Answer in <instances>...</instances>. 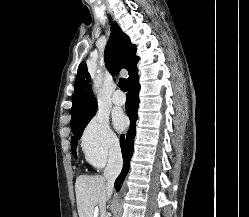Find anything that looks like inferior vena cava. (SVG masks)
Masks as SVG:
<instances>
[{
  "instance_id": "1",
  "label": "inferior vena cava",
  "mask_w": 249,
  "mask_h": 217,
  "mask_svg": "<svg viewBox=\"0 0 249 217\" xmlns=\"http://www.w3.org/2000/svg\"><path fill=\"white\" fill-rule=\"evenodd\" d=\"M123 160L121 148L117 141H113L109 147V158L106 168L104 169V179L107 184L108 198L111 196L114 182L122 170Z\"/></svg>"
}]
</instances>
